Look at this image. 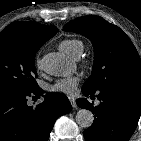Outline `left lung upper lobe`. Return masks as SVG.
<instances>
[{"label": "left lung upper lobe", "mask_w": 141, "mask_h": 141, "mask_svg": "<svg viewBox=\"0 0 141 141\" xmlns=\"http://www.w3.org/2000/svg\"><path fill=\"white\" fill-rule=\"evenodd\" d=\"M64 31L88 37L94 46V65L83 89L95 93L112 87L141 88V61L129 37L98 16H84L67 23Z\"/></svg>", "instance_id": "5c2ea615"}]
</instances>
